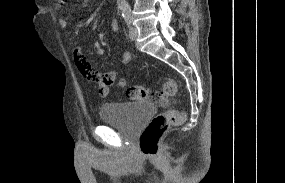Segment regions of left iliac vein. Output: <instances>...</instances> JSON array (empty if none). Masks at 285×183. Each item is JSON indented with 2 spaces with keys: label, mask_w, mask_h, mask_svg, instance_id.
I'll list each match as a JSON object with an SVG mask.
<instances>
[{
  "label": "left iliac vein",
  "mask_w": 285,
  "mask_h": 183,
  "mask_svg": "<svg viewBox=\"0 0 285 183\" xmlns=\"http://www.w3.org/2000/svg\"><path fill=\"white\" fill-rule=\"evenodd\" d=\"M137 35H138L137 29L134 27H131L129 30V38L132 41H135L137 39Z\"/></svg>",
  "instance_id": "1"
}]
</instances>
